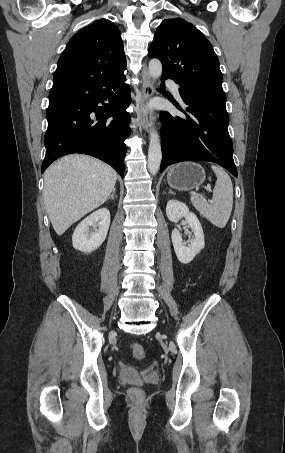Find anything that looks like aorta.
I'll list each match as a JSON object with an SVG mask.
<instances>
[{
	"label": "aorta",
	"mask_w": 285,
	"mask_h": 453,
	"mask_svg": "<svg viewBox=\"0 0 285 453\" xmlns=\"http://www.w3.org/2000/svg\"><path fill=\"white\" fill-rule=\"evenodd\" d=\"M149 74L153 79H157L162 74V64L158 59L149 62ZM162 151L158 133L153 130L150 132V142L148 149V170L151 175H156L161 164Z\"/></svg>",
	"instance_id": "obj_1"
}]
</instances>
